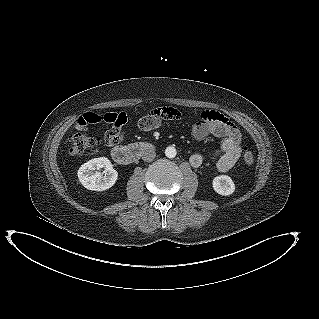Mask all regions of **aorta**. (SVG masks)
I'll return each instance as SVG.
<instances>
[{"label": "aorta", "instance_id": "1", "mask_svg": "<svg viewBox=\"0 0 319 319\" xmlns=\"http://www.w3.org/2000/svg\"><path fill=\"white\" fill-rule=\"evenodd\" d=\"M177 154L175 147L169 146L165 149V155L167 158H174Z\"/></svg>", "mask_w": 319, "mask_h": 319}]
</instances>
